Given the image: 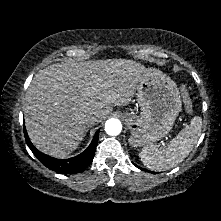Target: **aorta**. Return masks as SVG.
Listing matches in <instances>:
<instances>
[{
    "label": "aorta",
    "mask_w": 221,
    "mask_h": 221,
    "mask_svg": "<svg viewBox=\"0 0 221 221\" xmlns=\"http://www.w3.org/2000/svg\"><path fill=\"white\" fill-rule=\"evenodd\" d=\"M122 124L120 120L115 118H110L105 123V131L110 136H116L121 133Z\"/></svg>",
    "instance_id": "aorta-1"
}]
</instances>
